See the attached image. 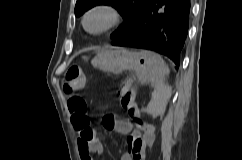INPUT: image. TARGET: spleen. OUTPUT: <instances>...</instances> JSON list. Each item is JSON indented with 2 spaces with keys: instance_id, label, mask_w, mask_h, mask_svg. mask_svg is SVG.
I'll return each instance as SVG.
<instances>
[{
  "instance_id": "3e777b00",
  "label": "spleen",
  "mask_w": 242,
  "mask_h": 160,
  "mask_svg": "<svg viewBox=\"0 0 242 160\" xmlns=\"http://www.w3.org/2000/svg\"><path fill=\"white\" fill-rule=\"evenodd\" d=\"M151 64L153 72L151 82L154 86V92L152 93V100L147 111L156 113L171 95L170 88L164 85V78L169 74V68L163 59L155 53H152Z\"/></svg>"
}]
</instances>
